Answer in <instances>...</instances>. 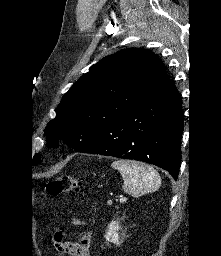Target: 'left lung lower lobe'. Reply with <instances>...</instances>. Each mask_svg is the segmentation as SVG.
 Returning <instances> with one entry per match:
<instances>
[{"label": "left lung lower lobe", "mask_w": 221, "mask_h": 256, "mask_svg": "<svg viewBox=\"0 0 221 256\" xmlns=\"http://www.w3.org/2000/svg\"><path fill=\"white\" fill-rule=\"evenodd\" d=\"M183 127L182 100L168 80L133 110L103 126L76 152L140 160L177 179Z\"/></svg>", "instance_id": "left-lung-lower-lobe-1"}]
</instances>
